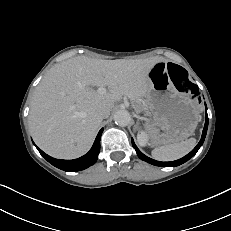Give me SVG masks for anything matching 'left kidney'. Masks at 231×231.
Here are the masks:
<instances>
[{
	"instance_id": "1",
	"label": "left kidney",
	"mask_w": 231,
	"mask_h": 231,
	"mask_svg": "<svg viewBox=\"0 0 231 231\" xmlns=\"http://www.w3.org/2000/svg\"><path fill=\"white\" fill-rule=\"evenodd\" d=\"M137 141H138V144L142 147L146 146L147 144V141H148V137L146 135L145 132L143 131H140L138 134H137Z\"/></svg>"
}]
</instances>
